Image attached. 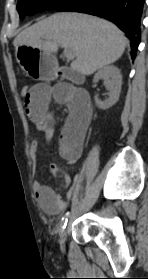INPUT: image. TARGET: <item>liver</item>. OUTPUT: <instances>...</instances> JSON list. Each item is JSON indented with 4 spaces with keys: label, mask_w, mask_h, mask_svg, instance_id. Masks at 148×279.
Wrapping results in <instances>:
<instances>
[{
    "label": "liver",
    "mask_w": 148,
    "mask_h": 279,
    "mask_svg": "<svg viewBox=\"0 0 148 279\" xmlns=\"http://www.w3.org/2000/svg\"><path fill=\"white\" fill-rule=\"evenodd\" d=\"M123 32L114 24L82 13L61 12L24 29L13 41L37 48L54 58L60 46L71 49L76 59L71 70L91 75L118 60L127 45Z\"/></svg>",
    "instance_id": "obj_1"
}]
</instances>
